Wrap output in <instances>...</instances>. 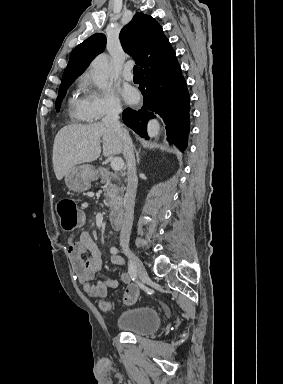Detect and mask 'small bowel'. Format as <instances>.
I'll use <instances>...</instances> for the list:
<instances>
[{
  "instance_id": "obj_1",
  "label": "small bowel",
  "mask_w": 283,
  "mask_h": 384,
  "mask_svg": "<svg viewBox=\"0 0 283 384\" xmlns=\"http://www.w3.org/2000/svg\"><path fill=\"white\" fill-rule=\"evenodd\" d=\"M68 253L73 271L87 296L104 299L111 289L119 287V281L113 278L92 282L102 267V258L101 252L88 230L83 229L77 235H71L68 238ZM111 261L117 265L124 264L122 258L116 255L111 256ZM121 282L128 285L132 283L129 272L125 271L121 274Z\"/></svg>"
}]
</instances>
